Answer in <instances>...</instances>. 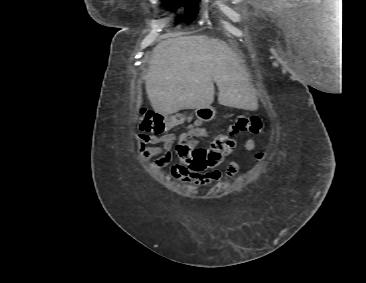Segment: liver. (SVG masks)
<instances>
[{
  "label": "liver",
  "mask_w": 366,
  "mask_h": 283,
  "mask_svg": "<svg viewBox=\"0 0 366 283\" xmlns=\"http://www.w3.org/2000/svg\"><path fill=\"white\" fill-rule=\"evenodd\" d=\"M144 76L153 109L167 116L184 109L224 106L255 111L258 101L243 60L222 40L206 35L177 36L159 43Z\"/></svg>",
  "instance_id": "obj_1"
}]
</instances>
